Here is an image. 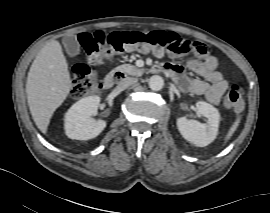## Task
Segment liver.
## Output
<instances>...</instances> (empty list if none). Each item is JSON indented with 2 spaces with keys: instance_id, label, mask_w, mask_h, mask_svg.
<instances>
[{
  "instance_id": "1",
  "label": "liver",
  "mask_w": 270,
  "mask_h": 213,
  "mask_svg": "<svg viewBox=\"0 0 270 213\" xmlns=\"http://www.w3.org/2000/svg\"><path fill=\"white\" fill-rule=\"evenodd\" d=\"M71 86L62 47L57 40H51L34 59L26 82L29 109L42 133L47 132L53 113L64 102Z\"/></svg>"
}]
</instances>
